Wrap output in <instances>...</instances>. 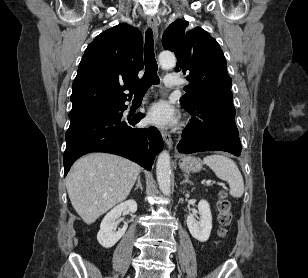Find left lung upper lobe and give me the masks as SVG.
Here are the masks:
<instances>
[{
	"mask_svg": "<svg viewBox=\"0 0 308 278\" xmlns=\"http://www.w3.org/2000/svg\"><path fill=\"white\" fill-rule=\"evenodd\" d=\"M163 47L177 57L176 71L187 73L190 82L180 99L184 108L197 105L203 98L231 91L232 79L227 72L225 56L214 38L200 27L189 28V22L176 20L162 37Z\"/></svg>",
	"mask_w": 308,
	"mask_h": 278,
	"instance_id": "obj_1",
	"label": "left lung upper lobe"
}]
</instances>
